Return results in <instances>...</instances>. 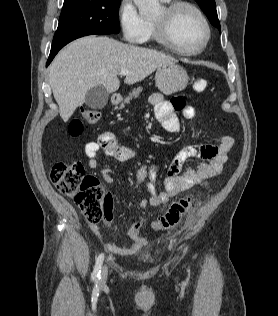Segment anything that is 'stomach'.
Here are the masks:
<instances>
[{
	"label": "stomach",
	"mask_w": 278,
	"mask_h": 316,
	"mask_svg": "<svg viewBox=\"0 0 278 316\" xmlns=\"http://www.w3.org/2000/svg\"><path fill=\"white\" fill-rule=\"evenodd\" d=\"M188 81L186 70L177 65L175 61L159 66L155 74L156 86L166 95L184 90Z\"/></svg>",
	"instance_id": "obj_1"
}]
</instances>
